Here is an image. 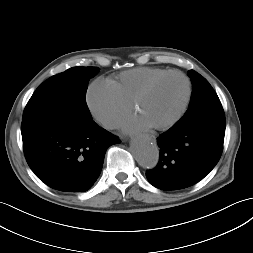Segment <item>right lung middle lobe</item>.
<instances>
[{"instance_id":"1","label":"right lung middle lobe","mask_w":253,"mask_h":253,"mask_svg":"<svg viewBox=\"0 0 253 253\" xmlns=\"http://www.w3.org/2000/svg\"><path fill=\"white\" fill-rule=\"evenodd\" d=\"M99 70L73 67L43 82L25 107L21 132L62 116L92 118L85 97L90 78Z\"/></svg>"}]
</instances>
